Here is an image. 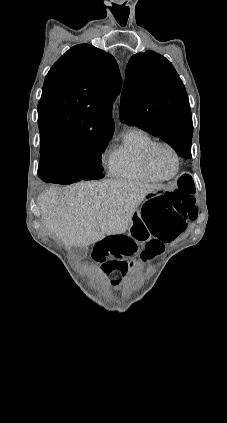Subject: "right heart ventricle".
I'll return each mask as SVG.
<instances>
[{
	"label": "right heart ventricle",
	"instance_id": "e07e8e85",
	"mask_svg": "<svg viewBox=\"0 0 227 423\" xmlns=\"http://www.w3.org/2000/svg\"><path fill=\"white\" fill-rule=\"evenodd\" d=\"M151 142L153 139L146 131L128 128L122 136L121 143L111 154L110 174L116 178L136 182H157L158 180L146 172L142 160L143 151Z\"/></svg>",
	"mask_w": 227,
	"mask_h": 423
}]
</instances>
